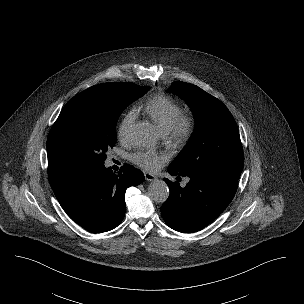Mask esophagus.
<instances>
[{
  "label": "esophagus",
  "instance_id": "34e87169",
  "mask_svg": "<svg viewBox=\"0 0 304 304\" xmlns=\"http://www.w3.org/2000/svg\"><path fill=\"white\" fill-rule=\"evenodd\" d=\"M144 176L147 181H154L157 179V177L151 173H144Z\"/></svg>",
  "mask_w": 304,
  "mask_h": 304
}]
</instances>
